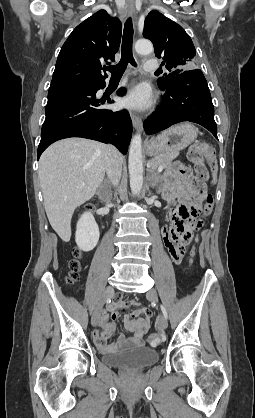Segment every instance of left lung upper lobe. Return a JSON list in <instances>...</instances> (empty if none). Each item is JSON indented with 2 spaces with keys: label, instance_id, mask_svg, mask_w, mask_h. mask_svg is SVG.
Masks as SVG:
<instances>
[{
  "label": "left lung upper lobe",
  "instance_id": "left-lung-upper-lobe-1",
  "mask_svg": "<svg viewBox=\"0 0 255 418\" xmlns=\"http://www.w3.org/2000/svg\"><path fill=\"white\" fill-rule=\"evenodd\" d=\"M143 36L152 41L155 56L170 72L157 82L164 91L172 79L185 71L198 69L195 62L196 50L185 30L160 12L151 11L145 19Z\"/></svg>",
  "mask_w": 255,
  "mask_h": 418
}]
</instances>
